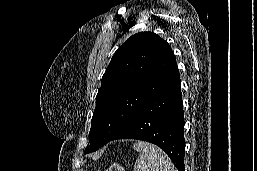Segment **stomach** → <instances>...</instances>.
I'll return each mask as SVG.
<instances>
[{"mask_svg": "<svg viewBox=\"0 0 257 171\" xmlns=\"http://www.w3.org/2000/svg\"><path fill=\"white\" fill-rule=\"evenodd\" d=\"M109 171H125L124 167L117 164V163H113L110 168Z\"/></svg>", "mask_w": 257, "mask_h": 171, "instance_id": "0dacf381", "label": "stomach"}]
</instances>
